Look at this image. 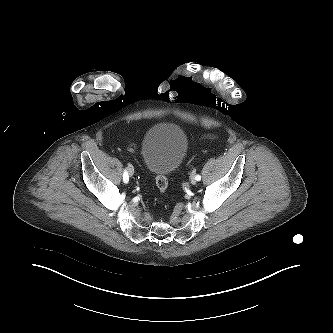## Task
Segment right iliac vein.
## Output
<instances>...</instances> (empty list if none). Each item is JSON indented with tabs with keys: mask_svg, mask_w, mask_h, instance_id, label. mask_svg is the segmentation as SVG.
Here are the masks:
<instances>
[{
	"mask_svg": "<svg viewBox=\"0 0 333 333\" xmlns=\"http://www.w3.org/2000/svg\"><path fill=\"white\" fill-rule=\"evenodd\" d=\"M128 173H129L130 176H133V174H134V168H133L132 165L128 166Z\"/></svg>",
	"mask_w": 333,
	"mask_h": 333,
	"instance_id": "right-iliac-vein-1",
	"label": "right iliac vein"
}]
</instances>
